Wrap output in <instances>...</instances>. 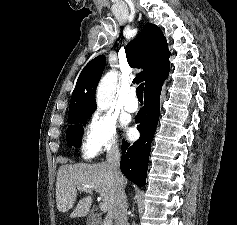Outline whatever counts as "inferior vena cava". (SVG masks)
<instances>
[{
  "label": "inferior vena cava",
  "instance_id": "1",
  "mask_svg": "<svg viewBox=\"0 0 237 225\" xmlns=\"http://www.w3.org/2000/svg\"><path fill=\"white\" fill-rule=\"evenodd\" d=\"M108 168L115 180L116 204L114 209L115 225H128L127 199L124 191L125 178L120 171V152L117 144H113L106 155Z\"/></svg>",
  "mask_w": 237,
  "mask_h": 225
}]
</instances>
